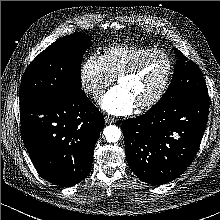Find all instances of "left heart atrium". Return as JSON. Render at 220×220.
Here are the masks:
<instances>
[{"label": "left heart atrium", "mask_w": 220, "mask_h": 220, "mask_svg": "<svg viewBox=\"0 0 220 220\" xmlns=\"http://www.w3.org/2000/svg\"><path fill=\"white\" fill-rule=\"evenodd\" d=\"M100 106L107 113L116 116L128 115L136 108L132 96L119 86L110 89L102 97Z\"/></svg>", "instance_id": "obj_1"}]
</instances>
